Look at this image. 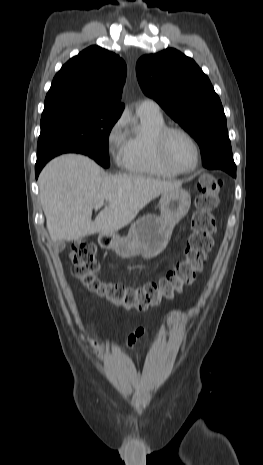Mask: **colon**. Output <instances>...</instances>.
Returning a JSON list of instances; mask_svg holds the SVG:
<instances>
[{
	"mask_svg": "<svg viewBox=\"0 0 263 465\" xmlns=\"http://www.w3.org/2000/svg\"><path fill=\"white\" fill-rule=\"evenodd\" d=\"M222 181L212 175H203L197 183L196 210L192 216V232L187 240L184 259L156 282L139 287H127L122 283L102 282L97 278L100 264L95 247L84 241H76L69 255L72 274L91 292L116 305L138 311L158 305L162 299H170L196 278L202 269L208 252L213 246L216 232L214 209L219 203Z\"/></svg>",
	"mask_w": 263,
	"mask_h": 465,
	"instance_id": "5ec220e1",
	"label": "colon"
}]
</instances>
